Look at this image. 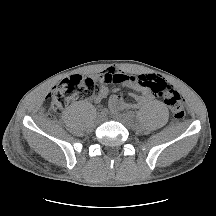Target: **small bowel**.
I'll list each match as a JSON object with an SVG mask.
<instances>
[{
  "label": "small bowel",
  "mask_w": 216,
  "mask_h": 216,
  "mask_svg": "<svg viewBox=\"0 0 216 216\" xmlns=\"http://www.w3.org/2000/svg\"><path fill=\"white\" fill-rule=\"evenodd\" d=\"M97 78L102 83L99 95L95 98V102L99 103L109 97L111 92L114 91L110 88L109 84H119L131 88L134 92L132 97L134 103H126L120 96H111L109 98V105L112 110H121L128 107H137L152 99L153 93L146 85L149 80L162 79L156 75H128L123 71L114 68H108L97 75Z\"/></svg>",
  "instance_id": "c3829d8e"
}]
</instances>
